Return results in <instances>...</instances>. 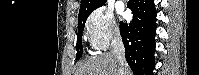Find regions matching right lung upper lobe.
Wrapping results in <instances>:
<instances>
[{"label":"right lung upper lobe","instance_id":"cb5924a9","mask_svg":"<svg viewBox=\"0 0 199 75\" xmlns=\"http://www.w3.org/2000/svg\"><path fill=\"white\" fill-rule=\"evenodd\" d=\"M105 2L106 0H81L79 17L92 12L99 6L105 4Z\"/></svg>","mask_w":199,"mask_h":75}]
</instances>
